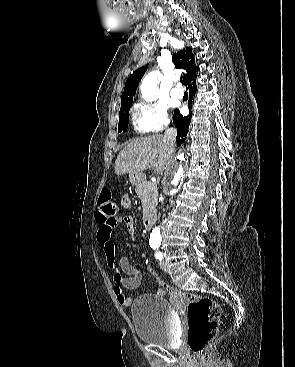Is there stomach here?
<instances>
[{
    "mask_svg": "<svg viewBox=\"0 0 295 367\" xmlns=\"http://www.w3.org/2000/svg\"><path fill=\"white\" fill-rule=\"evenodd\" d=\"M129 179L132 185H139L144 181V175L141 172L129 174Z\"/></svg>",
    "mask_w": 295,
    "mask_h": 367,
    "instance_id": "0dacf381",
    "label": "stomach"
}]
</instances>
